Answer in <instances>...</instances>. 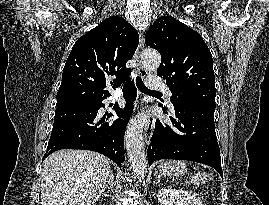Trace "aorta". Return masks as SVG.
I'll return each instance as SVG.
<instances>
[{"label": "aorta", "mask_w": 269, "mask_h": 205, "mask_svg": "<svg viewBox=\"0 0 269 205\" xmlns=\"http://www.w3.org/2000/svg\"><path fill=\"white\" fill-rule=\"evenodd\" d=\"M142 63L150 70H157L160 63V54L155 50H145L142 53ZM149 119L147 113L136 115L128 124L125 143L131 168L135 175L144 177L147 169V160L144 148L143 128Z\"/></svg>", "instance_id": "obj_1"}]
</instances>
